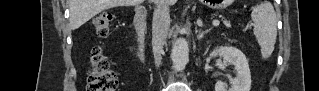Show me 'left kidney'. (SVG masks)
I'll return each instance as SVG.
<instances>
[{
  "label": "left kidney",
  "mask_w": 319,
  "mask_h": 91,
  "mask_svg": "<svg viewBox=\"0 0 319 91\" xmlns=\"http://www.w3.org/2000/svg\"><path fill=\"white\" fill-rule=\"evenodd\" d=\"M213 57L221 56L225 64L234 66L236 77L230 80V87L226 82L218 81L215 91H250L251 73L248 60L241 50L232 46H220L210 54Z\"/></svg>",
  "instance_id": "left-kidney-1"
}]
</instances>
